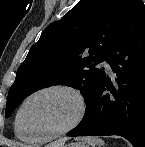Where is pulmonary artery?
<instances>
[{"mask_svg": "<svg viewBox=\"0 0 145 147\" xmlns=\"http://www.w3.org/2000/svg\"><path fill=\"white\" fill-rule=\"evenodd\" d=\"M100 65L102 66V67H104L106 70H108V71H110V65H109V62L107 61V60H102L101 62H100Z\"/></svg>", "mask_w": 145, "mask_h": 147, "instance_id": "obj_1", "label": "pulmonary artery"}]
</instances>
